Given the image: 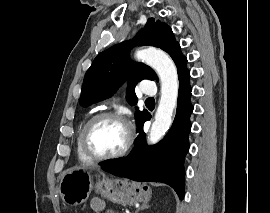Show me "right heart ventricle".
<instances>
[{"label":"right heart ventricle","mask_w":270,"mask_h":213,"mask_svg":"<svg viewBox=\"0 0 270 213\" xmlns=\"http://www.w3.org/2000/svg\"><path fill=\"white\" fill-rule=\"evenodd\" d=\"M86 122H87V120L84 121V122L81 124V126H80V128H79V130H78V132H77L76 140H75V146H76V153H77V156H78L79 160H80L81 162H83V163H90V162H92V160L89 159V158L85 155V153H84L83 150H82V146H81V135H82V131H83V128H84Z\"/></svg>","instance_id":"1"}]
</instances>
